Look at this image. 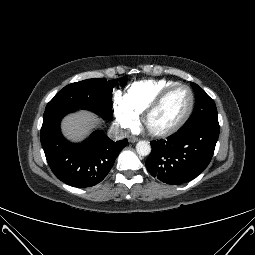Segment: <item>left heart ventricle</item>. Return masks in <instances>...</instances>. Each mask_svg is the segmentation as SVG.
I'll list each match as a JSON object with an SVG mask.
<instances>
[{
    "label": "left heart ventricle",
    "instance_id": "left-heart-ventricle-1",
    "mask_svg": "<svg viewBox=\"0 0 255 255\" xmlns=\"http://www.w3.org/2000/svg\"><path fill=\"white\" fill-rule=\"evenodd\" d=\"M190 103L189 92L179 88L170 93L161 106L150 116L148 125L154 130H163L175 125L186 113Z\"/></svg>",
    "mask_w": 255,
    "mask_h": 255
}]
</instances>
